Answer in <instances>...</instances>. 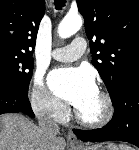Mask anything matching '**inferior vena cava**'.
Segmentation results:
<instances>
[{
  "label": "inferior vena cava",
  "instance_id": "1",
  "mask_svg": "<svg viewBox=\"0 0 139 150\" xmlns=\"http://www.w3.org/2000/svg\"><path fill=\"white\" fill-rule=\"evenodd\" d=\"M46 101L48 100H45V102ZM39 128L41 132L47 136L59 133L58 124L50 119L43 118L42 116L39 118Z\"/></svg>",
  "mask_w": 139,
  "mask_h": 150
}]
</instances>
